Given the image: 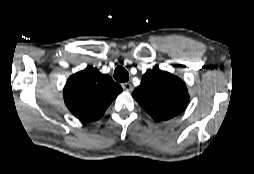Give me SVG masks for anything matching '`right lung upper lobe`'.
Masks as SVG:
<instances>
[{
  "mask_svg": "<svg viewBox=\"0 0 254 174\" xmlns=\"http://www.w3.org/2000/svg\"><path fill=\"white\" fill-rule=\"evenodd\" d=\"M122 92L109 75L90 67L70 76L63 89L70 112L84 122L100 119L110 103Z\"/></svg>",
  "mask_w": 254,
  "mask_h": 174,
  "instance_id": "obj_1",
  "label": "right lung upper lobe"
}]
</instances>
